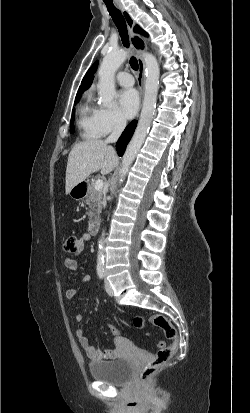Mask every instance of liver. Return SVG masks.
Returning <instances> with one entry per match:
<instances>
[{
  "mask_svg": "<svg viewBox=\"0 0 250 413\" xmlns=\"http://www.w3.org/2000/svg\"><path fill=\"white\" fill-rule=\"evenodd\" d=\"M118 165V156L113 147L103 140H88L75 144L68 156L66 168V194L83 182L90 174L101 170L109 174Z\"/></svg>",
  "mask_w": 250,
  "mask_h": 413,
  "instance_id": "1",
  "label": "liver"
}]
</instances>
